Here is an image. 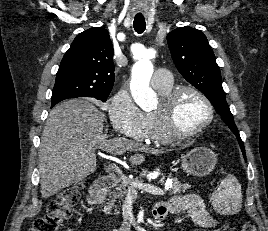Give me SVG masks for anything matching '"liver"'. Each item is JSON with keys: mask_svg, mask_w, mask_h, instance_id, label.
Returning <instances> with one entry per match:
<instances>
[{"mask_svg": "<svg viewBox=\"0 0 268 231\" xmlns=\"http://www.w3.org/2000/svg\"><path fill=\"white\" fill-rule=\"evenodd\" d=\"M104 121L105 114L84 99L65 101L50 111L39 148L38 168L43 198L95 172L96 148L110 154L154 151L126 138L107 140L103 135ZM144 160L145 157L139 153L129 158L135 165Z\"/></svg>", "mask_w": 268, "mask_h": 231, "instance_id": "obj_1", "label": "liver"}]
</instances>
